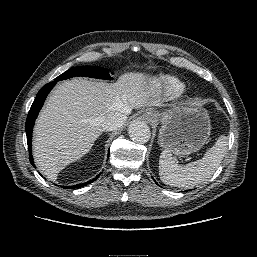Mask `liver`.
Masks as SVG:
<instances>
[{"instance_id": "obj_1", "label": "liver", "mask_w": 257, "mask_h": 257, "mask_svg": "<svg viewBox=\"0 0 257 257\" xmlns=\"http://www.w3.org/2000/svg\"><path fill=\"white\" fill-rule=\"evenodd\" d=\"M149 79L139 72L121 75L115 83L73 78L57 86L36 121L33 155L51 180L68 164L89 152L104 131L101 119L110 113L129 114L152 105Z\"/></svg>"}]
</instances>
